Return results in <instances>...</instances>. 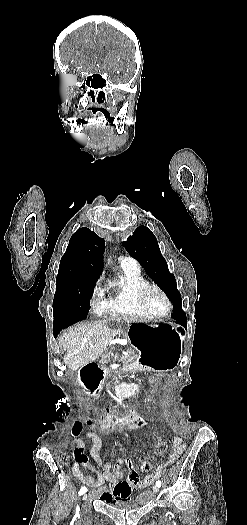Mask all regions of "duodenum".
<instances>
[{
    "mask_svg": "<svg viewBox=\"0 0 247 525\" xmlns=\"http://www.w3.org/2000/svg\"><path fill=\"white\" fill-rule=\"evenodd\" d=\"M136 369L134 363H128L121 367L122 372H131ZM108 374V369L98 366L95 362L84 364L79 371V381L87 392L94 394ZM135 390L127 385H119L115 388L117 397L129 398L135 395Z\"/></svg>",
    "mask_w": 247,
    "mask_h": 525,
    "instance_id": "1",
    "label": "duodenum"
}]
</instances>
